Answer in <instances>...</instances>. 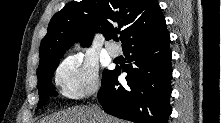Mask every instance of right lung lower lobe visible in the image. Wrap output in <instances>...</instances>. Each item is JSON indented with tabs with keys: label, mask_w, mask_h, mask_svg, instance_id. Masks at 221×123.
Here are the masks:
<instances>
[{
	"label": "right lung lower lobe",
	"mask_w": 221,
	"mask_h": 123,
	"mask_svg": "<svg viewBox=\"0 0 221 123\" xmlns=\"http://www.w3.org/2000/svg\"><path fill=\"white\" fill-rule=\"evenodd\" d=\"M169 33L133 44L124 50L128 56L127 85L117 81L120 69L108 71L102 78L98 100L104 111L136 123H168L172 52ZM131 53V55L129 54Z\"/></svg>",
	"instance_id": "obj_1"
}]
</instances>
